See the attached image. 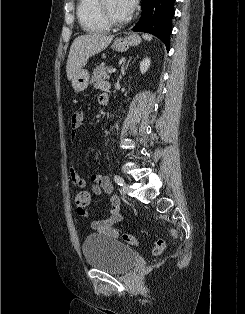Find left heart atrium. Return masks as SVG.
Segmentation results:
<instances>
[{
	"instance_id": "39dd6f15",
	"label": "left heart atrium",
	"mask_w": 245,
	"mask_h": 314,
	"mask_svg": "<svg viewBox=\"0 0 245 314\" xmlns=\"http://www.w3.org/2000/svg\"><path fill=\"white\" fill-rule=\"evenodd\" d=\"M120 5L128 12H131L135 6V0H118Z\"/></svg>"
}]
</instances>
